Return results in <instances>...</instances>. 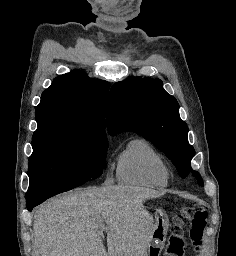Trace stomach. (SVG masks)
I'll list each match as a JSON object with an SVG mask.
<instances>
[{"label": "stomach", "instance_id": "stomach-1", "mask_svg": "<svg viewBox=\"0 0 236 256\" xmlns=\"http://www.w3.org/2000/svg\"><path fill=\"white\" fill-rule=\"evenodd\" d=\"M168 231V218L165 213L158 210L155 213V229L146 256H159L166 240Z\"/></svg>", "mask_w": 236, "mask_h": 256}]
</instances>
